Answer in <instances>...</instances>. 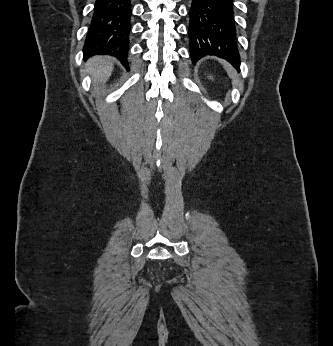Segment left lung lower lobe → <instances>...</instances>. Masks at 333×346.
Masks as SVG:
<instances>
[{
    "mask_svg": "<svg viewBox=\"0 0 333 346\" xmlns=\"http://www.w3.org/2000/svg\"><path fill=\"white\" fill-rule=\"evenodd\" d=\"M235 24L232 0H192L188 35L193 63L207 55L217 56L239 70Z\"/></svg>",
    "mask_w": 333,
    "mask_h": 346,
    "instance_id": "obj_1",
    "label": "left lung lower lobe"
}]
</instances>
